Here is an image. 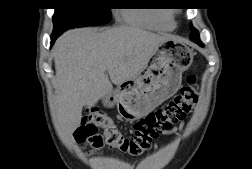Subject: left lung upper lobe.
Listing matches in <instances>:
<instances>
[{
  "label": "left lung upper lobe",
  "instance_id": "left-lung-upper-lobe-1",
  "mask_svg": "<svg viewBox=\"0 0 252 169\" xmlns=\"http://www.w3.org/2000/svg\"><path fill=\"white\" fill-rule=\"evenodd\" d=\"M190 29H191V31H192L191 34H190V38L193 37V36L198 35V31H197L195 28H193V27L191 26Z\"/></svg>",
  "mask_w": 252,
  "mask_h": 169
}]
</instances>
